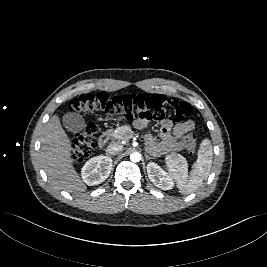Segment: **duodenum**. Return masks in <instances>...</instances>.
<instances>
[{
	"mask_svg": "<svg viewBox=\"0 0 267 267\" xmlns=\"http://www.w3.org/2000/svg\"><path fill=\"white\" fill-rule=\"evenodd\" d=\"M110 139V135L108 132H104L100 137H99V140H98V146L99 147H104L107 145L108 141Z\"/></svg>",
	"mask_w": 267,
	"mask_h": 267,
	"instance_id": "410a0bca",
	"label": "duodenum"
}]
</instances>
